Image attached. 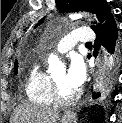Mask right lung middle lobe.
Instances as JSON below:
<instances>
[{
	"label": "right lung middle lobe",
	"instance_id": "obj_1",
	"mask_svg": "<svg viewBox=\"0 0 122 123\" xmlns=\"http://www.w3.org/2000/svg\"><path fill=\"white\" fill-rule=\"evenodd\" d=\"M15 73H17V65L15 64Z\"/></svg>",
	"mask_w": 122,
	"mask_h": 123
}]
</instances>
